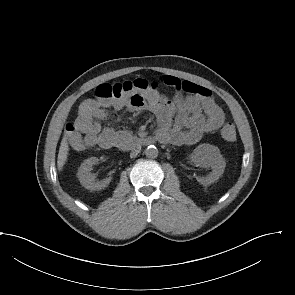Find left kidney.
Segmentation results:
<instances>
[{"label": "left kidney", "instance_id": "1", "mask_svg": "<svg viewBox=\"0 0 295 295\" xmlns=\"http://www.w3.org/2000/svg\"><path fill=\"white\" fill-rule=\"evenodd\" d=\"M191 161L197 166L210 167L212 171L206 176L198 178V182L204 186L217 181L223 174L226 162L218 147L210 144H200L190 155Z\"/></svg>", "mask_w": 295, "mask_h": 295}]
</instances>
